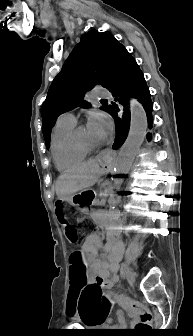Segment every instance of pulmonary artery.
I'll use <instances>...</instances> for the list:
<instances>
[{
  "mask_svg": "<svg viewBox=\"0 0 193 336\" xmlns=\"http://www.w3.org/2000/svg\"><path fill=\"white\" fill-rule=\"evenodd\" d=\"M95 92H96V97H104V98L110 97V92L103 87L96 88ZM57 123L58 124H75L76 119L72 113L66 112L58 118Z\"/></svg>",
  "mask_w": 193,
  "mask_h": 336,
  "instance_id": "e3ab8cb5",
  "label": "pulmonary artery"
}]
</instances>
